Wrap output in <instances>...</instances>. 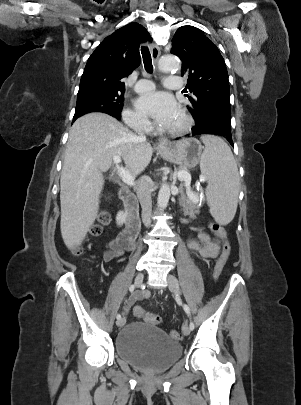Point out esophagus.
Returning <instances> with one entry per match:
<instances>
[{
  "label": "esophagus",
  "instance_id": "esophagus-1",
  "mask_svg": "<svg viewBox=\"0 0 301 405\" xmlns=\"http://www.w3.org/2000/svg\"><path fill=\"white\" fill-rule=\"evenodd\" d=\"M150 49H151L152 58H153L154 62L157 63L159 60V57H160V48L156 44H152ZM169 144L170 143H169L168 139L165 137L160 138L158 141L159 148H165V147L169 146Z\"/></svg>",
  "mask_w": 301,
  "mask_h": 405
}]
</instances>
